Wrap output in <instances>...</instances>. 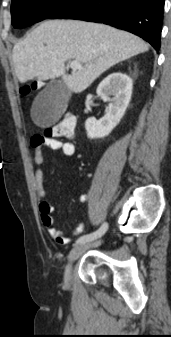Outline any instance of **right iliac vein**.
<instances>
[{
  "label": "right iliac vein",
  "instance_id": "1",
  "mask_svg": "<svg viewBox=\"0 0 171 337\" xmlns=\"http://www.w3.org/2000/svg\"><path fill=\"white\" fill-rule=\"evenodd\" d=\"M100 244V241L94 243H81L77 244L69 253L68 256V263L65 268L64 273V281L66 286H70L71 282V271H72V264L76 261L89 247L97 246Z\"/></svg>",
  "mask_w": 171,
  "mask_h": 337
}]
</instances>
